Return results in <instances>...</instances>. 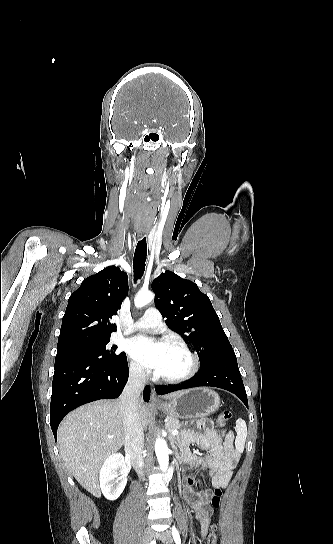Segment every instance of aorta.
<instances>
[{
    "label": "aorta",
    "instance_id": "aorta-1",
    "mask_svg": "<svg viewBox=\"0 0 333 544\" xmlns=\"http://www.w3.org/2000/svg\"><path fill=\"white\" fill-rule=\"evenodd\" d=\"M154 298V294L151 291H140L137 293L134 299V304L137 308H141L150 303ZM155 453L160 466V469L164 472L168 469L169 465V449L166 441L163 438L158 437L155 442Z\"/></svg>",
    "mask_w": 333,
    "mask_h": 544
}]
</instances>
